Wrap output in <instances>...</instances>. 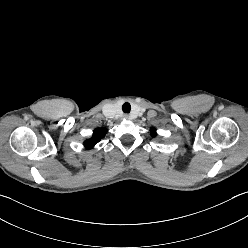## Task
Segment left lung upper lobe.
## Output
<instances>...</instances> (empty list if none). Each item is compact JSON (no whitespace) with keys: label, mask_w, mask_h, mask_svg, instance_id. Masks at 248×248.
I'll list each match as a JSON object with an SVG mask.
<instances>
[{"label":"left lung upper lobe","mask_w":248,"mask_h":248,"mask_svg":"<svg viewBox=\"0 0 248 248\" xmlns=\"http://www.w3.org/2000/svg\"><path fill=\"white\" fill-rule=\"evenodd\" d=\"M151 135H152V136H156V132H155L154 129H152Z\"/></svg>","instance_id":"5c2ea615"}]
</instances>
